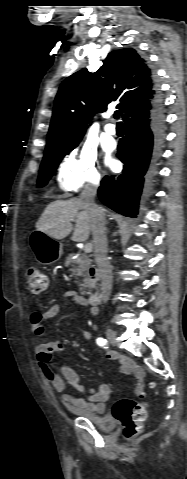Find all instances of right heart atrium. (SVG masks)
Here are the masks:
<instances>
[{"label": "right heart atrium", "instance_id": "1", "mask_svg": "<svg viewBox=\"0 0 187 479\" xmlns=\"http://www.w3.org/2000/svg\"><path fill=\"white\" fill-rule=\"evenodd\" d=\"M56 180L60 191L68 195L86 186H98L102 172L95 150L85 146L66 155L57 167Z\"/></svg>", "mask_w": 187, "mask_h": 479}]
</instances>
